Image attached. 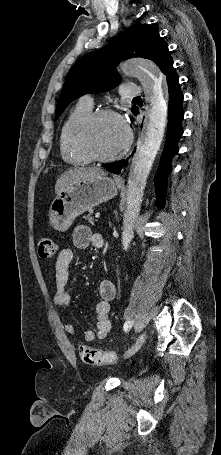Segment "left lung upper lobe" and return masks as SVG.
<instances>
[{"label":"left lung upper lobe","mask_w":221,"mask_h":455,"mask_svg":"<svg viewBox=\"0 0 221 455\" xmlns=\"http://www.w3.org/2000/svg\"><path fill=\"white\" fill-rule=\"evenodd\" d=\"M133 57L152 60L163 73L173 65L167 43L157 28L137 24L119 34L107 46L85 54L71 67L57 103L55 119L76 98L116 87L121 82L116 65ZM137 110V107H132L133 113Z\"/></svg>","instance_id":"1"}]
</instances>
